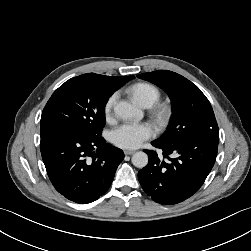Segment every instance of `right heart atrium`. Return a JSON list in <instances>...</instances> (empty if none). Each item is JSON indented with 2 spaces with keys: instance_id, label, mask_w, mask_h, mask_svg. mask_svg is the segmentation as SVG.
Returning a JSON list of instances; mask_svg holds the SVG:
<instances>
[{
  "instance_id": "obj_1",
  "label": "right heart atrium",
  "mask_w": 251,
  "mask_h": 251,
  "mask_svg": "<svg viewBox=\"0 0 251 251\" xmlns=\"http://www.w3.org/2000/svg\"><path fill=\"white\" fill-rule=\"evenodd\" d=\"M116 100H117V93H113L107 98L104 104V115L106 119L111 118Z\"/></svg>"
}]
</instances>
